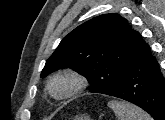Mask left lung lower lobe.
Returning <instances> with one entry per match:
<instances>
[{
  "label": "left lung lower lobe",
  "mask_w": 165,
  "mask_h": 120,
  "mask_svg": "<svg viewBox=\"0 0 165 120\" xmlns=\"http://www.w3.org/2000/svg\"><path fill=\"white\" fill-rule=\"evenodd\" d=\"M107 95L141 107L155 120H165V79L147 43L140 41L126 66L121 84Z\"/></svg>",
  "instance_id": "1"
}]
</instances>
